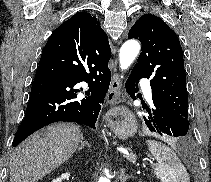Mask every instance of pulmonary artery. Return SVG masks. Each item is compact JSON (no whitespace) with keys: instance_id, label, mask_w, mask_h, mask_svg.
Returning <instances> with one entry per match:
<instances>
[{"instance_id":"pulmonary-artery-1","label":"pulmonary artery","mask_w":211,"mask_h":182,"mask_svg":"<svg viewBox=\"0 0 211 182\" xmlns=\"http://www.w3.org/2000/svg\"><path fill=\"white\" fill-rule=\"evenodd\" d=\"M144 92L147 100L151 101L152 100V91L151 88L148 84L144 85Z\"/></svg>"}]
</instances>
